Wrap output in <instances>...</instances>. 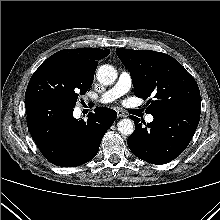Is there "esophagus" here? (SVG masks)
Masks as SVG:
<instances>
[{"label":"esophagus","instance_id":"1","mask_svg":"<svg viewBox=\"0 0 220 220\" xmlns=\"http://www.w3.org/2000/svg\"><path fill=\"white\" fill-rule=\"evenodd\" d=\"M117 116L118 117H125L126 114L122 110H117Z\"/></svg>","mask_w":220,"mask_h":220}]
</instances>
